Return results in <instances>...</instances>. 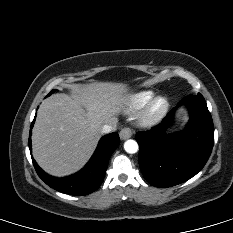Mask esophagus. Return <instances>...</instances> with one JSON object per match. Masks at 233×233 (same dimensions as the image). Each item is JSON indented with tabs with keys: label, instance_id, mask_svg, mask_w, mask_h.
<instances>
[{
	"label": "esophagus",
	"instance_id": "esophagus-1",
	"mask_svg": "<svg viewBox=\"0 0 233 233\" xmlns=\"http://www.w3.org/2000/svg\"><path fill=\"white\" fill-rule=\"evenodd\" d=\"M132 134H133V132H132L131 128H129V127L122 128L120 133H119L120 138L122 140H126V139L130 138L132 136Z\"/></svg>",
	"mask_w": 233,
	"mask_h": 233
}]
</instances>
